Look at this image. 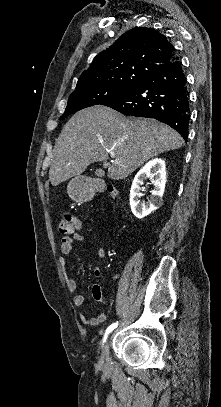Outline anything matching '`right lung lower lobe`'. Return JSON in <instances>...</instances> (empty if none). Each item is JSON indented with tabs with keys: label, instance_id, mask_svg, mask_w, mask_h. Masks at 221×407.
Returning <instances> with one entry per match:
<instances>
[{
	"label": "right lung lower lobe",
	"instance_id": "obj_1",
	"mask_svg": "<svg viewBox=\"0 0 221 407\" xmlns=\"http://www.w3.org/2000/svg\"><path fill=\"white\" fill-rule=\"evenodd\" d=\"M102 105L127 116L146 117L166 123L187 141L189 92L178 57L146 77L126 94Z\"/></svg>",
	"mask_w": 221,
	"mask_h": 407
}]
</instances>
